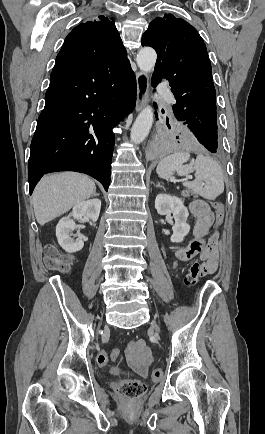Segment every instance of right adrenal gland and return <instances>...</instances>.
<instances>
[{
	"mask_svg": "<svg viewBox=\"0 0 265 434\" xmlns=\"http://www.w3.org/2000/svg\"><path fill=\"white\" fill-rule=\"evenodd\" d=\"M93 196H99V194H93Z\"/></svg>",
	"mask_w": 265,
	"mask_h": 434,
	"instance_id": "2a0ac1e0",
	"label": "right adrenal gland"
}]
</instances>
